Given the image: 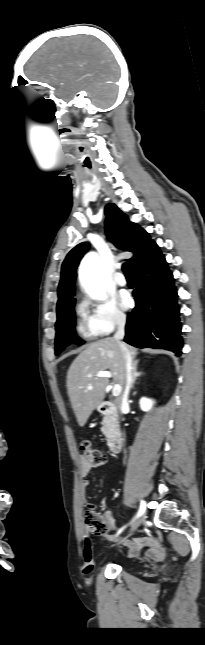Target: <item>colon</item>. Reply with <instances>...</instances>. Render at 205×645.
I'll return each mask as SVG.
<instances>
[{"mask_svg": "<svg viewBox=\"0 0 205 645\" xmlns=\"http://www.w3.org/2000/svg\"><path fill=\"white\" fill-rule=\"evenodd\" d=\"M80 448L83 452V457L90 466L97 468L105 464V455L100 450L92 447L89 441H81ZM85 507L84 524L86 529L95 536H104L108 531V525L104 517L92 504L87 503Z\"/></svg>", "mask_w": 205, "mask_h": 645, "instance_id": "1", "label": "colon"}]
</instances>
